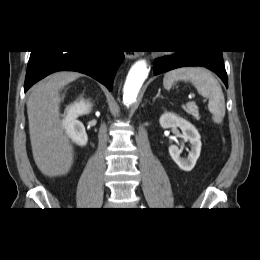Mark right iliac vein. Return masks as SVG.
I'll list each match as a JSON object with an SVG mask.
<instances>
[{
	"mask_svg": "<svg viewBox=\"0 0 260 260\" xmlns=\"http://www.w3.org/2000/svg\"><path fill=\"white\" fill-rule=\"evenodd\" d=\"M111 206V203L110 202H107L106 204H105V208H109Z\"/></svg>",
	"mask_w": 260,
	"mask_h": 260,
	"instance_id": "63e3f726",
	"label": "right iliac vein"
}]
</instances>
